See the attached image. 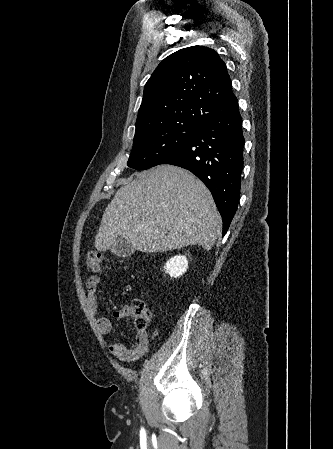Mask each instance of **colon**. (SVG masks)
Masks as SVG:
<instances>
[{
  "mask_svg": "<svg viewBox=\"0 0 333 449\" xmlns=\"http://www.w3.org/2000/svg\"><path fill=\"white\" fill-rule=\"evenodd\" d=\"M104 259L105 257L100 251L91 250L86 255V266L92 271H98L100 270ZM129 312L138 329H145L148 326L151 319V312L144 302L134 300L129 306Z\"/></svg>",
  "mask_w": 333,
  "mask_h": 449,
  "instance_id": "obj_1",
  "label": "colon"
}]
</instances>
